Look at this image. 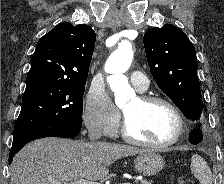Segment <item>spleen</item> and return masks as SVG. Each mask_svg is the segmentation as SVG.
<instances>
[{"label": "spleen", "instance_id": "obj_1", "mask_svg": "<svg viewBox=\"0 0 224 184\" xmlns=\"http://www.w3.org/2000/svg\"><path fill=\"white\" fill-rule=\"evenodd\" d=\"M191 171L201 184H212V173L207 162L197 154L191 159Z\"/></svg>", "mask_w": 224, "mask_h": 184}]
</instances>
